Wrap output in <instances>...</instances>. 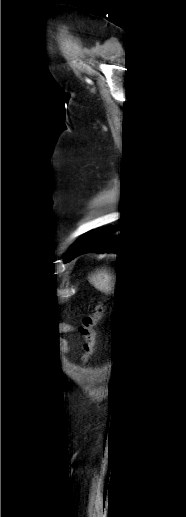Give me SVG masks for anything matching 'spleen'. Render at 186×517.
<instances>
[{
	"label": "spleen",
	"mask_w": 186,
	"mask_h": 517,
	"mask_svg": "<svg viewBox=\"0 0 186 517\" xmlns=\"http://www.w3.org/2000/svg\"><path fill=\"white\" fill-rule=\"evenodd\" d=\"M90 283L99 291L113 293L115 288L116 276L114 272L105 269L97 270L89 277Z\"/></svg>",
	"instance_id": "3e777b00"
}]
</instances>
